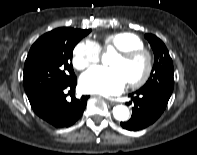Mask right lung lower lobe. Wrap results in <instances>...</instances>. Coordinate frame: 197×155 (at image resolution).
Instances as JSON below:
<instances>
[{
    "label": "right lung lower lobe",
    "mask_w": 197,
    "mask_h": 155,
    "mask_svg": "<svg viewBox=\"0 0 197 155\" xmlns=\"http://www.w3.org/2000/svg\"><path fill=\"white\" fill-rule=\"evenodd\" d=\"M76 77L66 85L43 93L34 101L30 102L32 109L40 118L57 128L69 127L82 115L89 96L80 99L73 98L71 102L66 101L65 89L75 90Z\"/></svg>",
    "instance_id": "right-lung-lower-lobe-1"
}]
</instances>
